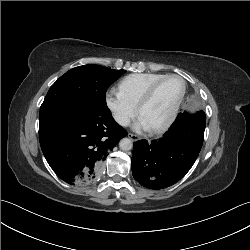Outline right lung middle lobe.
Here are the masks:
<instances>
[{"mask_svg":"<svg viewBox=\"0 0 250 250\" xmlns=\"http://www.w3.org/2000/svg\"><path fill=\"white\" fill-rule=\"evenodd\" d=\"M125 70H113L99 65L73 68L61 76L49 89L40 107V117L70 105L107 107L105 94Z\"/></svg>","mask_w":250,"mask_h":250,"instance_id":"dd1d6c3e","label":"right lung middle lobe"}]
</instances>
